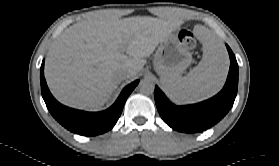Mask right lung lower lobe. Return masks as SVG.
Masks as SVG:
<instances>
[{"label":"right lung lower lobe","instance_id":"right-lung-lower-lobe-1","mask_svg":"<svg viewBox=\"0 0 279 166\" xmlns=\"http://www.w3.org/2000/svg\"><path fill=\"white\" fill-rule=\"evenodd\" d=\"M44 63L40 71V82L43 99L52 116L65 128L73 133L83 136L102 134L116 124L123 110L124 104L130 93L139 83V80L126 86L116 102L102 112H84L61 105L51 95L43 74Z\"/></svg>","mask_w":279,"mask_h":166}]
</instances>
